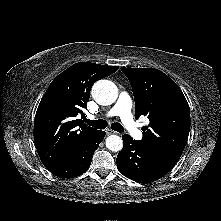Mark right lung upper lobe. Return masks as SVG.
I'll list each match as a JSON object with an SVG mask.
<instances>
[{"label": "right lung upper lobe", "mask_w": 221, "mask_h": 221, "mask_svg": "<svg viewBox=\"0 0 221 221\" xmlns=\"http://www.w3.org/2000/svg\"><path fill=\"white\" fill-rule=\"evenodd\" d=\"M118 69V66L79 62L51 82L34 121L36 148L46 168L65 161L98 131L76 117L84 115L82 109L87 108L92 85Z\"/></svg>", "instance_id": "obj_1"}]
</instances>
